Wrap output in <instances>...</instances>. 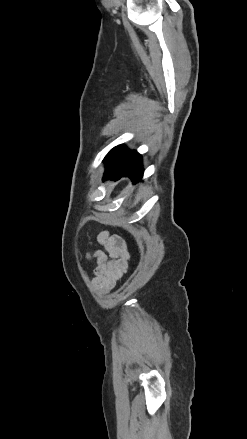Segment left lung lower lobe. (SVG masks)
Instances as JSON below:
<instances>
[{
  "label": "left lung lower lobe",
  "instance_id": "0a47b994",
  "mask_svg": "<svg viewBox=\"0 0 247 439\" xmlns=\"http://www.w3.org/2000/svg\"><path fill=\"white\" fill-rule=\"evenodd\" d=\"M122 176L130 177L134 183L141 180L143 176L142 158L136 151L130 152L127 164L123 169L112 170L106 167L104 179L112 178L118 180Z\"/></svg>",
  "mask_w": 247,
  "mask_h": 439
}]
</instances>
